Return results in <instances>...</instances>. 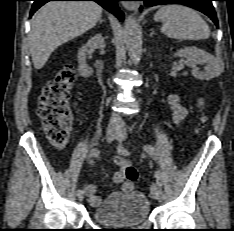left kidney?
<instances>
[{
  "instance_id": "1",
  "label": "left kidney",
  "mask_w": 234,
  "mask_h": 231,
  "mask_svg": "<svg viewBox=\"0 0 234 231\" xmlns=\"http://www.w3.org/2000/svg\"><path fill=\"white\" fill-rule=\"evenodd\" d=\"M174 56L186 58L191 64L192 75L199 80H210L224 71V63L220 59L196 47L180 49ZM202 64H206L204 71H200L197 67Z\"/></svg>"
}]
</instances>
